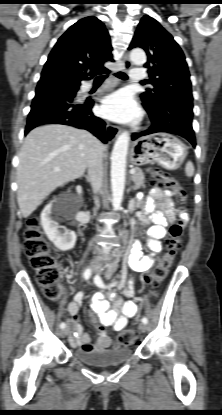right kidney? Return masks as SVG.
<instances>
[{"label": "right kidney", "instance_id": "1", "mask_svg": "<svg viewBox=\"0 0 222 415\" xmlns=\"http://www.w3.org/2000/svg\"><path fill=\"white\" fill-rule=\"evenodd\" d=\"M57 210L58 205L48 204L41 213V225L49 240L52 241L58 249L67 251L75 246L77 236L74 231L59 226L54 216ZM60 228H63V230Z\"/></svg>", "mask_w": 222, "mask_h": 415}]
</instances>
